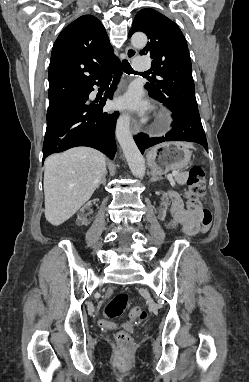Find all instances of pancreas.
I'll list each match as a JSON object with an SVG mask.
<instances>
[{
	"label": "pancreas",
	"mask_w": 249,
	"mask_h": 382,
	"mask_svg": "<svg viewBox=\"0 0 249 382\" xmlns=\"http://www.w3.org/2000/svg\"><path fill=\"white\" fill-rule=\"evenodd\" d=\"M187 180V175L186 174H178L176 177H175V181L180 184V185H183L185 184Z\"/></svg>",
	"instance_id": "1"
}]
</instances>
